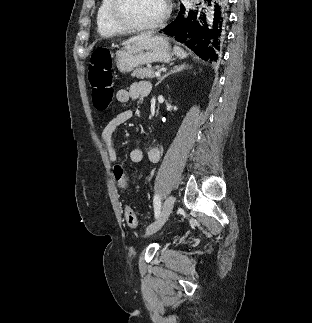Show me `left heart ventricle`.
Here are the masks:
<instances>
[{
  "label": "left heart ventricle",
  "instance_id": "left-heart-ventricle-1",
  "mask_svg": "<svg viewBox=\"0 0 312 323\" xmlns=\"http://www.w3.org/2000/svg\"><path fill=\"white\" fill-rule=\"evenodd\" d=\"M117 14L122 18H134L135 22H144L145 18H159L163 14V0H118Z\"/></svg>",
  "mask_w": 312,
  "mask_h": 323
}]
</instances>
